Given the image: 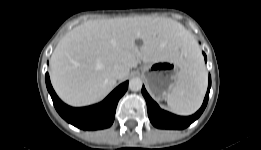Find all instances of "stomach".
I'll return each instance as SVG.
<instances>
[{
  "instance_id": "obj_1",
  "label": "stomach",
  "mask_w": 261,
  "mask_h": 150,
  "mask_svg": "<svg viewBox=\"0 0 261 150\" xmlns=\"http://www.w3.org/2000/svg\"><path fill=\"white\" fill-rule=\"evenodd\" d=\"M181 70L175 61L145 63L141 67L149 91L157 100L166 99L178 82Z\"/></svg>"
}]
</instances>
